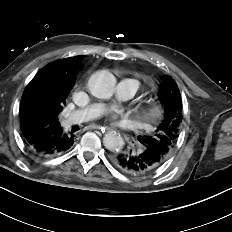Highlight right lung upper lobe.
Masks as SVG:
<instances>
[{
	"instance_id": "right-lung-upper-lobe-1",
	"label": "right lung upper lobe",
	"mask_w": 232,
	"mask_h": 232,
	"mask_svg": "<svg viewBox=\"0 0 232 232\" xmlns=\"http://www.w3.org/2000/svg\"><path fill=\"white\" fill-rule=\"evenodd\" d=\"M83 57L65 58L43 67L24 90L20 117H31L39 130L60 127L56 112L63 110L65 100L76 82Z\"/></svg>"
}]
</instances>
